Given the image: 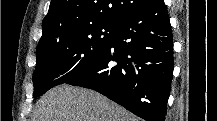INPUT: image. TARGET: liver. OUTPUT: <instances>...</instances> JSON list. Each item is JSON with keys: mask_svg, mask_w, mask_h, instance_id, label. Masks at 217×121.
I'll use <instances>...</instances> for the list:
<instances>
[{"mask_svg": "<svg viewBox=\"0 0 217 121\" xmlns=\"http://www.w3.org/2000/svg\"><path fill=\"white\" fill-rule=\"evenodd\" d=\"M33 121H137V118L93 90L63 84L37 101Z\"/></svg>", "mask_w": 217, "mask_h": 121, "instance_id": "liver-1", "label": "liver"}]
</instances>
